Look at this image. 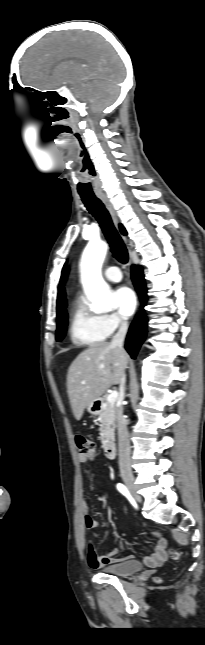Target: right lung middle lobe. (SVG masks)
<instances>
[{
  "instance_id": "obj_1",
  "label": "right lung middle lobe",
  "mask_w": 205,
  "mask_h": 645,
  "mask_svg": "<svg viewBox=\"0 0 205 645\" xmlns=\"http://www.w3.org/2000/svg\"><path fill=\"white\" fill-rule=\"evenodd\" d=\"M67 324H68L67 313H66V310H64L61 313L60 317L57 318V331H56L57 341H61L64 338Z\"/></svg>"
}]
</instances>
